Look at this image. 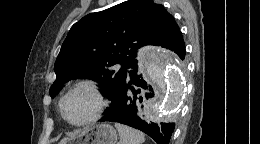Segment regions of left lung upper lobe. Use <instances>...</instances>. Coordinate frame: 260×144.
Segmentation results:
<instances>
[{
  "label": "left lung upper lobe",
  "instance_id": "5c2ea615",
  "mask_svg": "<svg viewBox=\"0 0 260 144\" xmlns=\"http://www.w3.org/2000/svg\"><path fill=\"white\" fill-rule=\"evenodd\" d=\"M179 32L173 16L151 0H128L88 14L71 27L62 44L50 96L71 79L87 78L99 82L102 94L112 101L126 69L137 63L136 50L164 47ZM116 64L119 70L113 69Z\"/></svg>",
  "mask_w": 260,
  "mask_h": 144
}]
</instances>
